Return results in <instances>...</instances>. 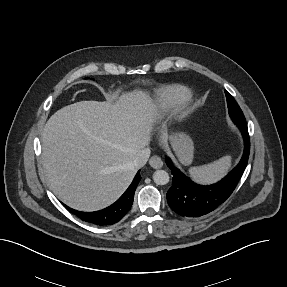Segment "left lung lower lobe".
Returning <instances> with one entry per match:
<instances>
[{
    "instance_id": "0a47b994",
    "label": "left lung lower lobe",
    "mask_w": 287,
    "mask_h": 287,
    "mask_svg": "<svg viewBox=\"0 0 287 287\" xmlns=\"http://www.w3.org/2000/svg\"><path fill=\"white\" fill-rule=\"evenodd\" d=\"M242 132L244 139V153L239 164L221 181L210 186L198 185L191 181L170 158L166 157V164L171 169L172 187L167 192V202L170 208L185 218H198L204 216L223 202L234 191L242 173L247 166L250 153V139L246 121H234Z\"/></svg>"
}]
</instances>
